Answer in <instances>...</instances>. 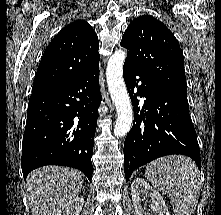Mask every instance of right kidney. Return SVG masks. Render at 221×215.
Instances as JSON below:
<instances>
[{
	"label": "right kidney",
	"instance_id": "right-kidney-1",
	"mask_svg": "<svg viewBox=\"0 0 221 215\" xmlns=\"http://www.w3.org/2000/svg\"><path fill=\"white\" fill-rule=\"evenodd\" d=\"M84 204L82 197H75L65 204L55 215H80Z\"/></svg>",
	"mask_w": 221,
	"mask_h": 215
}]
</instances>
